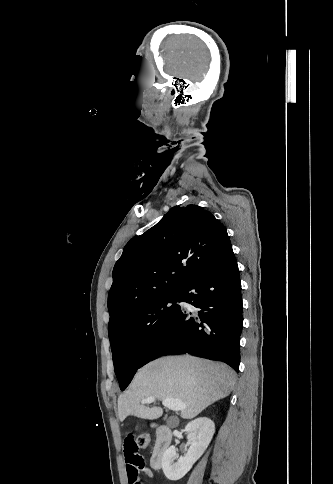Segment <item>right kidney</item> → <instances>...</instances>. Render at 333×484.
<instances>
[{
  "mask_svg": "<svg viewBox=\"0 0 333 484\" xmlns=\"http://www.w3.org/2000/svg\"><path fill=\"white\" fill-rule=\"evenodd\" d=\"M185 431L190 443L187 454L174 463V460L177 459L176 449L174 446H170L162 458L163 472L171 481L183 478L202 456L213 437L215 424L209 418H197L186 425Z\"/></svg>",
  "mask_w": 333,
  "mask_h": 484,
  "instance_id": "1",
  "label": "right kidney"
}]
</instances>
